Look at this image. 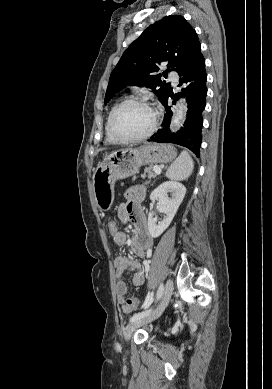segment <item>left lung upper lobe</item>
Segmentation results:
<instances>
[{"instance_id":"5c2ea615","label":"left lung upper lobe","mask_w":272,"mask_h":389,"mask_svg":"<svg viewBox=\"0 0 272 389\" xmlns=\"http://www.w3.org/2000/svg\"><path fill=\"white\" fill-rule=\"evenodd\" d=\"M200 47L196 31L179 15H169L150 25L123 53L110 75L105 103L126 85L146 86L163 102L170 84L161 76L180 73ZM168 62L166 72L157 74L158 65Z\"/></svg>"}]
</instances>
